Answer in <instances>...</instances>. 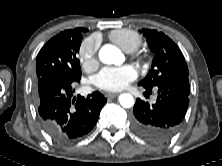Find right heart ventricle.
I'll list each match as a JSON object with an SVG mask.
<instances>
[{"instance_id": "obj_1", "label": "right heart ventricle", "mask_w": 222, "mask_h": 166, "mask_svg": "<svg viewBox=\"0 0 222 166\" xmlns=\"http://www.w3.org/2000/svg\"><path fill=\"white\" fill-rule=\"evenodd\" d=\"M109 38L125 52L132 53L142 44L141 36L130 29H118L110 32Z\"/></svg>"}]
</instances>
